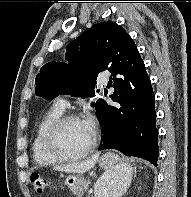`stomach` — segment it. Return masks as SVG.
<instances>
[{
  "instance_id": "0dacf381",
  "label": "stomach",
  "mask_w": 191,
  "mask_h": 197,
  "mask_svg": "<svg viewBox=\"0 0 191 197\" xmlns=\"http://www.w3.org/2000/svg\"><path fill=\"white\" fill-rule=\"evenodd\" d=\"M98 164L110 175L106 193L107 197L113 196L114 188L115 185H117V182L116 179L111 175V173L114 171L115 167L118 164H121L120 158L113 153H105L98 159ZM64 183L77 197H82V195L88 188V181L82 174H70L66 176Z\"/></svg>"
}]
</instances>
